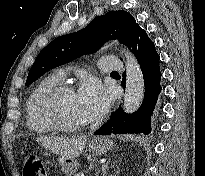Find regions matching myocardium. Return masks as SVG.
<instances>
[{"instance_id": "f54148a6", "label": "myocardium", "mask_w": 205, "mask_h": 176, "mask_svg": "<svg viewBox=\"0 0 205 176\" xmlns=\"http://www.w3.org/2000/svg\"><path fill=\"white\" fill-rule=\"evenodd\" d=\"M74 93V87L69 84H59L46 92L38 102L37 114L39 118L53 126L58 131H79L86 128L89 122L71 124L63 122L56 110L57 100L66 94Z\"/></svg>"}]
</instances>
